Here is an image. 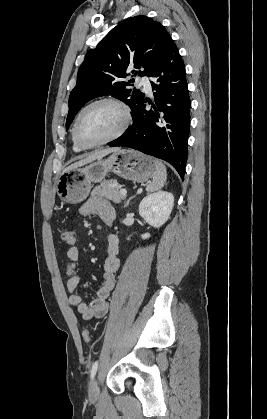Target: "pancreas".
I'll return each instance as SVG.
<instances>
[{
    "label": "pancreas",
    "mask_w": 267,
    "mask_h": 419,
    "mask_svg": "<svg viewBox=\"0 0 267 419\" xmlns=\"http://www.w3.org/2000/svg\"><path fill=\"white\" fill-rule=\"evenodd\" d=\"M119 184L117 180H107L96 186L92 192V196L103 197L114 203H120L125 196L119 193Z\"/></svg>",
    "instance_id": "1"
}]
</instances>
